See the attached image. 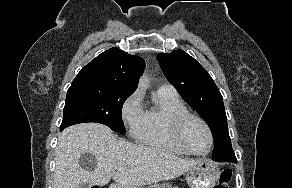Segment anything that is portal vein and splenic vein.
<instances>
[{"label": "portal vein and splenic vein", "instance_id": "18ae733b", "mask_svg": "<svg viewBox=\"0 0 292 188\" xmlns=\"http://www.w3.org/2000/svg\"><path fill=\"white\" fill-rule=\"evenodd\" d=\"M120 172H125L126 169L122 168V169H119Z\"/></svg>", "mask_w": 292, "mask_h": 188}]
</instances>
